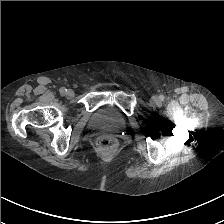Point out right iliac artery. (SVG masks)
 <instances>
[{"instance_id": "1", "label": "right iliac artery", "mask_w": 224, "mask_h": 224, "mask_svg": "<svg viewBox=\"0 0 224 224\" xmlns=\"http://www.w3.org/2000/svg\"><path fill=\"white\" fill-rule=\"evenodd\" d=\"M59 92L60 94L64 95L67 92V89L65 87H61Z\"/></svg>"}]
</instances>
